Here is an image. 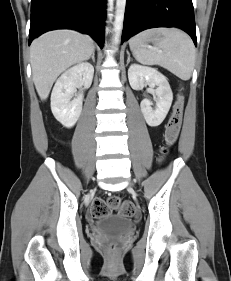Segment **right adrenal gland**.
I'll list each match as a JSON object with an SVG mask.
<instances>
[{
	"label": "right adrenal gland",
	"mask_w": 231,
	"mask_h": 281,
	"mask_svg": "<svg viewBox=\"0 0 231 281\" xmlns=\"http://www.w3.org/2000/svg\"><path fill=\"white\" fill-rule=\"evenodd\" d=\"M91 59L92 61L95 63V51H93L92 55H91Z\"/></svg>",
	"instance_id": "1"
}]
</instances>
